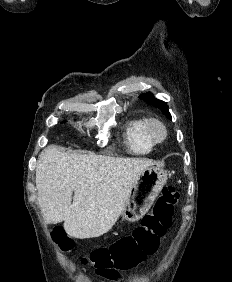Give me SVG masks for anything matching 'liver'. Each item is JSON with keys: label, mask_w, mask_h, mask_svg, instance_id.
I'll use <instances>...</instances> for the list:
<instances>
[{"label": "liver", "mask_w": 232, "mask_h": 282, "mask_svg": "<svg viewBox=\"0 0 232 282\" xmlns=\"http://www.w3.org/2000/svg\"><path fill=\"white\" fill-rule=\"evenodd\" d=\"M153 165L151 160L67 153L48 146L39 156L35 179L46 222L64 221L67 234L79 239L107 233L139 175Z\"/></svg>", "instance_id": "obj_1"}]
</instances>
